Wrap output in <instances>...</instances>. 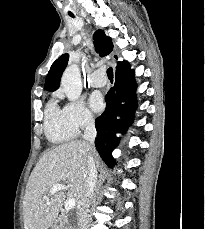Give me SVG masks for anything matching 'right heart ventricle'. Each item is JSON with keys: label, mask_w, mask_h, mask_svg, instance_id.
Here are the masks:
<instances>
[{"label": "right heart ventricle", "mask_w": 205, "mask_h": 229, "mask_svg": "<svg viewBox=\"0 0 205 229\" xmlns=\"http://www.w3.org/2000/svg\"><path fill=\"white\" fill-rule=\"evenodd\" d=\"M44 130L47 139L54 144L66 143L77 135L67 122L63 109L54 99H51L45 108Z\"/></svg>", "instance_id": "e07e8e85"}]
</instances>
